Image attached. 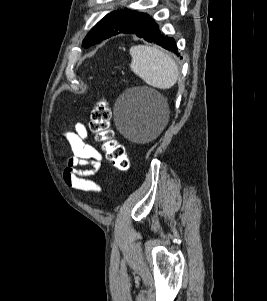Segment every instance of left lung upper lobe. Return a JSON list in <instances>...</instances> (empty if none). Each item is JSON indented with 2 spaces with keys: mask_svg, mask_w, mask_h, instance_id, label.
<instances>
[{
  "mask_svg": "<svg viewBox=\"0 0 267 301\" xmlns=\"http://www.w3.org/2000/svg\"><path fill=\"white\" fill-rule=\"evenodd\" d=\"M147 18L148 14L140 13L126 7L113 11L107 14L91 29L83 40V47L88 48L111 36L123 33Z\"/></svg>",
  "mask_w": 267,
  "mask_h": 301,
  "instance_id": "1",
  "label": "left lung upper lobe"
}]
</instances>
